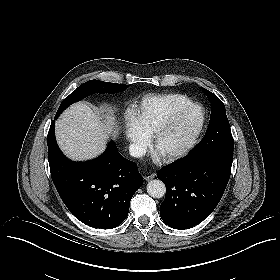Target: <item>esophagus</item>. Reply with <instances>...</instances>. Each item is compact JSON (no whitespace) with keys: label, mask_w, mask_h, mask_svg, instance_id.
Returning <instances> with one entry per match:
<instances>
[{"label":"esophagus","mask_w":280,"mask_h":280,"mask_svg":"<svg viewBox=\"0 0 280 280\" xmlns=\"http://www.w3.org/2000/svg\"><path fill=\"white\" fill-rule=\"evenodd\" d=\"M154 177H155V174L152 173L151 175L144 176V179H145L146 181H149V180L153 179Z\"/></svg>","instance_id":"obj_1"}]
</instances>
